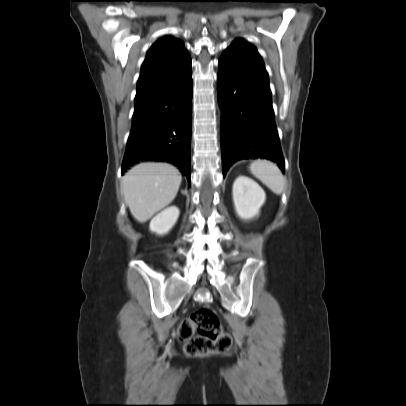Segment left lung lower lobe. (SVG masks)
<instances>
[{"mask_svg":"<svg viewBox=\"0 0 406 406\" xmlns=\"http://www.w3.org/2000/svg\"><path fill=\"white\" fill-rule=\"evenodd\" d=\"M217 93L223 112V175L241 159H270L284 171L265 66L243 54L225 51L219 60Z\"/></svg>","mask_w":406,"mask_h":406,"instance_id":"0a47b994","label":"left lung lower lobe"}]
</instances>
